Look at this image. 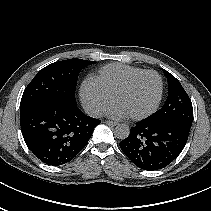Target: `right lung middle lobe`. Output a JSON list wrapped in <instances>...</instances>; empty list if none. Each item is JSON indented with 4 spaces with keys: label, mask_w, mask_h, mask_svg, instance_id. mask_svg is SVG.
<instances>
[{
    "label": "right lung middle lobe",
    "mask_w": 211,
    "mask_h": 211,
    "mask_svg": "<svg viewBox=\"0 0 211 211\" xmlns=\"http://www.w3.org/2000/svg\"><path fill=\"white\" fill-rule=\"evenodd\" d=\"M93 63L95 61L74 58L44 67L24 90L20 110L45 103L76 105L75 89L78 74Z\"/></svg>",
    "instance_id": "obj_1"
}]
</instances>
